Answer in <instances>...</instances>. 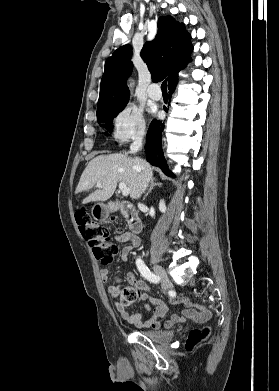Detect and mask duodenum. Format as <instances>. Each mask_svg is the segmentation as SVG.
Instances as JSON below:
<instances>
[{
	"label": "duodenum",
	"instance_id": "obj_1",
	"mask_svg": "<svg viewBox=\"0 0 279 391\" xmlns=\"http://www.w3.org/2000/svg\"><path fill=\"white\" fill-rule=\"evenodd\" d=\"M114 209L119 211L127 220L128 226L132 233L133 240L142 230V221L138 216L136 209L127 201H121L114 205Z\"/></svg>",
	"mask_w": 279,
	"mask_h": 391
}]
</instances>
